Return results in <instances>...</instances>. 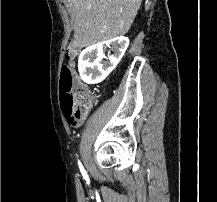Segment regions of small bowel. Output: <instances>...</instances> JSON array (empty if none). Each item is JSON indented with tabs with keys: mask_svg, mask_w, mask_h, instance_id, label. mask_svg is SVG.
<instances>
[{
	"mask_svg": "<svg viewBox=\"0 0 217 202\" xmlns=\"http://www.w3.org/2000/svg\"><path fill=\"white\" fill-rule=\"evenodd\" d=\"M86 116H87V114H86ZM86 116H78V117H77V120H78V121H81L80 125L83 123V121L86 120Z\"/></svg>",
	"mask_w": 217,
	"mask_h": 202,
	"instance_id": "c3829d8e",
	"label": "small bowel"
}]
</instances>
